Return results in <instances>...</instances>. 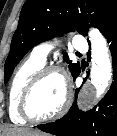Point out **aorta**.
Segmentation results:
<instances>
[{"label":"aorta","instance_id":"obj_1","mask_svg":"<svg viewBox=\"0 0 117 136\" xmlns=\"http://www.w3.org/2000/svg\"><path fill=\"white\" fill-rule=\"evenodd\" d=\"M91 41V83L96 89L97 97L104 94L112 75V64L109 58L107 41L97 29L89 32Z\"/></svg>","mask_w":117,"mask_h":136}]
</instances>
